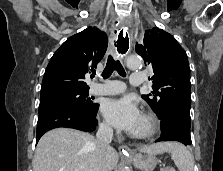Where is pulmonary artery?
<instances>
[{"label":"pulmonary artery","instance_id":"pulmonary-artery-1","mask_svg":"<svg viewBox=\"0 0 223 171\" xmlns=\"http://www.w3.org/2000/svg\"><path fill=\"white\" fill-rule=\"evenodd\" d=\"M144 78L141 72H134L130 76V83L133 86H139ZM125 91V84L118 80H105L102 83L93 84L90 87V93L93 95H116Z\"/></svg>","mask_w":223,"mask_h":171}]
</instances>
